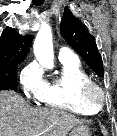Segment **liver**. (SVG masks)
<instances>
[{"mask_svg":"<svg viewBox=\"0 0 117 136\" xmlns=\"http://www.w3.org/2000/svg\"><path fill=\"white\" fill-rule=\"evenodd\" d=\"M82 120L66 111L32 107L13 91H0V136H66Z\"/></svg>","mask_w":117,"mask_h":136,"instance_id":"liver-1","label":"liver"}]
</instances>
